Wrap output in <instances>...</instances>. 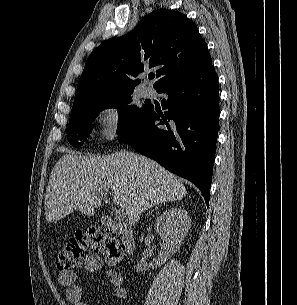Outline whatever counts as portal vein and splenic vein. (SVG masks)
I'll use <instances>...</instances> for the list:
<instances>
[{"mask_svg":"<svg viewBox=\"0 0 297 305\" xmlns=\"http://www.w3.org/2000/svg\"><path fill=\"white\" fill-rule=\"evenodd\" d=\"M115 216L117 219L125 218V212L122 208H118L115 210Z\"/></svg>","mask_w":297,"mask_h":305,"instance_id":"1","label":"portal vein and splenic vein"}]
</instances>
